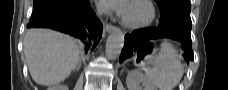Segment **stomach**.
<instances>
[{"mask_svg":"<svg viewBox=\"0 0 228 90\" xmlns=\"http://www.w3.org/2000/svg\"><path fill=\"white\" fill-rule=\"evenodd\" d=\"M155 53V48L153 46L152 43H148L147 47L140 53H138V55L135 56V61H137V63L140 66H146L147 63L151 60V58L154 56Z\"/></svg>","mask_w":228,"mask_h":90,"instance_id":"obj_1","label":"stomach"}]
</instances>
